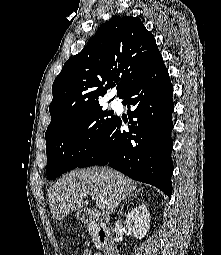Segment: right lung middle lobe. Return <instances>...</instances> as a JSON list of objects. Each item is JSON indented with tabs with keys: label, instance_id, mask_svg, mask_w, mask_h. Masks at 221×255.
I'll return each mask as SVG.
<instances>
[{
	"label": "right lung middle lobe",
	"instance_id": "right-lung-middle-lobe-1",
	"mask_svg": "<svg viewBox=\"0 0 221 255\" xmlns=\"http://www.w3.org/2000/svg\"><path fill=\"white\" fill-rule=\"evenodd\" d=\"M115 118L97 103L72 114L46 132L47 179L74 169L85 160Z\"/></svg>",
	"mask_w": 221,
	"mask_h": 255
}]
</instances>
